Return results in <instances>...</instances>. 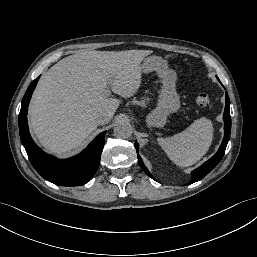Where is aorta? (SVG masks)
I'll list each match as a JSON object with an SVG mask.
<instances>
[{
    "label": "aorta",
    "mask_w": 257,
    "mask_h": 257,
    "mask_svg": "<svg viewBox=\"0 0 257 257\" xmlns=\"http://www.w3.org/2000/svg\"><path fill=\"white\" fill-rule=\"evenodd\" d=\"M114 135L118 138H129L132 135V126L127 121H120L114 127Z\"/></svg>",
    "instance_id": "762f6f07"
}]
</instances>
